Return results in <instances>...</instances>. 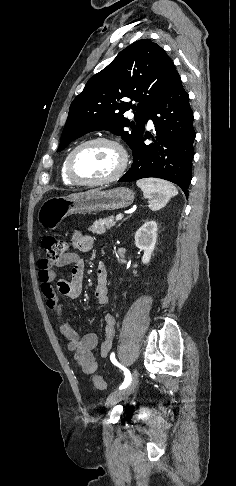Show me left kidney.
<instances>
[{
	"mask_svg": "<svg viewBox=\"0 0 236 486\" xmlns=\"http://www.w3.org/2000/svg\"><path fill=\"white\" fill-rule=\"evenodd\" d=\"M157 223L153 220L146 221L135 234L136 246L144 251L142 257V263L147 264L150 262L152 253L155 249L157 240ZM136 274V271H133Z\"/></svg>",
	"mask_w": 236,
	"mask_h": 486,
	"instance_id": "obj_1",
	"label": "left kidney"
}]
</instances>
